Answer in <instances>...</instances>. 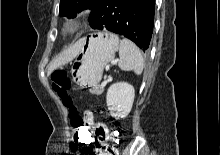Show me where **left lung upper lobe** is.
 Instances as JSON below:
<instances>
[{
  "mask_svg": "<svg viewBox=\"0 0 220 155\" xmlns=\"http://www.w3.org/2000/svg\"><path fill=\"white\" fill-rule=\"evenodd\" d=\"M99 0H61L59 14L74 18L84 9H92Z\"/></svg>",
  "mask_w": 220,
  "mask_h": 155,
  "instance_id": "5c2ea615",
  "label": "left lung upper lobe"
}]
</instances>
